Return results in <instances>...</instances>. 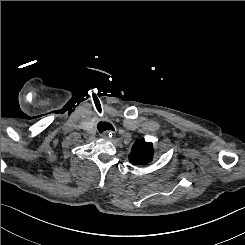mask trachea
<instances>
[{
  "mask_svg": "<svg viewBox=\"0 0 245 245\" xmlns=\"http://www.w3.org/2000/svg\"><path fill=\"white\" fill-rule=\"evenodd\" d=\"M98 131L99 132H104V131H113L114 127L112 124L106 122V121H100L97 125Z\"/></svg>",
  "mask_w": 245,
  "mask_h": 245,
  "instance_id": "obj_1",
  "label": "trachea"
}]
</instances>
